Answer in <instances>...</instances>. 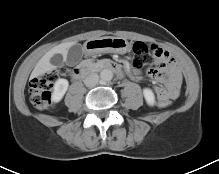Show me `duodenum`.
I'll return each instance as SVG.
<instances>
[{"instance_id": "1", "label": "duodenum", "mask_w": 219, "mask_h": 174, "mask_svg": "<svg viewBox=\"0 0 219 174\" xmlns=\"http://www.w3.org/2000/svg\"><path fill=\"white\" fill-rule=\"evenodd\" d=\"M97 70H110V71L115 72L118 75L122 74L121 67L116 62L110 61V60H104L98 63L85 64V65L76 67L72 71L71 74L73 78L80 79V78H84L90 75L91 73Z\"/></svg>"}]
</instances>
